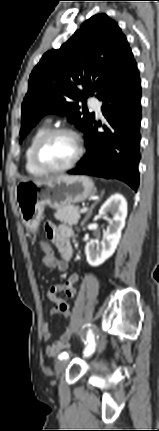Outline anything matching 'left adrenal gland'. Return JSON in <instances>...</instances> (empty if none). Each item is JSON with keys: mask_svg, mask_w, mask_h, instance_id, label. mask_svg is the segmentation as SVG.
<instances>
[{"mask_svg": "<svg viewBox=\"0 0 159 431\" xmlns=\"http://www.w3.org/2000/svg\"><path fill=\"white\" fill-rule=\"evenodd\" d=\"M103 194H104V191L101 193L100 198H102ZM100 198L94 204L91 205V207H90V209H89V211L87 213V216L84 219V222H86L90 218V216L92 215V211H93L95 205L100 201Z\"/></svg>", "mask_w": 159, "mask_h": 431, "instance_id": "left-adrenal-gland-1", "label": "left adrenal gland"}]
</instances>
